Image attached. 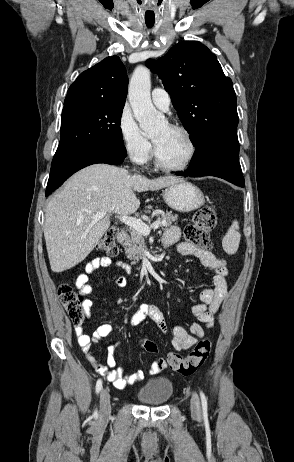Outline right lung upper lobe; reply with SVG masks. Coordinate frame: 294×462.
<instances>
[{"instance_id":"cb5924a9","label":"right lung upper lobe","mask_w":294,"mask_h":462,"mask_svg":"<svg viewBox=\"0 0 294 462\" xmlns=\"http://www.w3.org/2000/svg\"><path fill=\"white\" fill-rule=\"evenodd\" d=\"M127 87L125 66L114 55L82 72L68 89L64 104L77 101L125 102Z\"/></svg>"}]
</instances>
